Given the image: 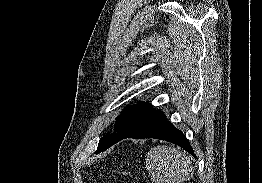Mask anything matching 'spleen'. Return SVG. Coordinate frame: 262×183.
<instances>
[{
    "instance_id": "obj_1",
    "label": "spleen",
    "mask_w": 262,
    "mask_h": 183,
    "mask_svg": "<svg viewBox=\"0 0 262 183\" xmlns=\"http://www.w3.org/2000/svg\"><path fill=\"white\" fill-rule=\"evenodd\" d=\"M146 168L154 183H181L193 174L186 155L166 145H158L148 152Z\"/></svg>"
}]
</instances>
